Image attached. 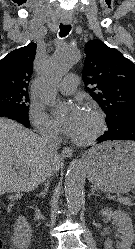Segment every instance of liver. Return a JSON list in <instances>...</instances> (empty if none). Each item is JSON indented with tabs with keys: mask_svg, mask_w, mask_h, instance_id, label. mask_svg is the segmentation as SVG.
<instances>
[{
	"mask_svg": "<svg viewBox=\"0 0 135 249\" xmlns=\"http://www.w3.org/2000/svg\"><path fill=\"white\" fill-rule=\"evenodd\" d=\"M49 164L59 170L60 157L51 155L39 136L0 117V195L37 188Z\"/></svg>",
	"mask_w": 135,
	"mask_h": 249,
	"instance_id": "obj_1",
	"label": "liver"
}]
</instances>
